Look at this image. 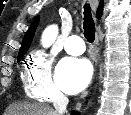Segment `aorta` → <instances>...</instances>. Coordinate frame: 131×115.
<instances>
[{
  "mask_svg": "<svg viewBox=\"0 0 131 115\" xmlns=\"http://www.w3.org/2000/svg\"><path fill=\"white\" fill-rule=\"evenodd\" d=\"M58 35V27L56 25L48 27L42 35V45L44 47H49L56 39Z\"/></svg>",
  "mask_w": 131,
  "mask_h": 115,
  "instance_id": "1",
  "label": "aorta"
}]
</instances>
